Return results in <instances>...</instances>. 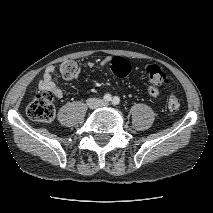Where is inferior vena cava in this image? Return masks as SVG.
Masks as SVG:
<instances>
[{
	"instance_id": "obj_1",
	"label": "inferior vena cava",
	"mask_w": 213,
	"mask_h": 213,
	"mask_svg": "<svg viewBox=\"0 0 213 213\" xmlns=\"http://www.w3.org/2000/svg\"><path fill=\"white\" fill-rule=\"evenodd\" d=\"M88 102H89V103H91V102L101 103L102 100H100V99H89Z\"/></svg>"
}]
</instances>
